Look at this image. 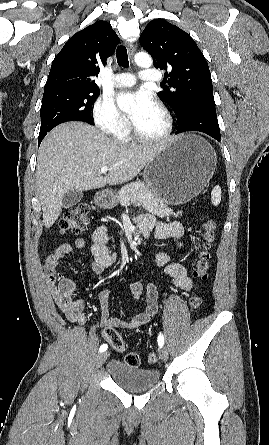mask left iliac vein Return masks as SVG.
Here are the masks:
<instances>
[{
	"label": "left iliac vein",
	"mask_w": 269,
	"mask_h": 445,
	"mask_svg": "<svg viewBox=\"0 0 269 445\" xmlns=\"http://www.w3.org/2000/svg\"><path fill=\"white\" fill-rule=\"evenodd\" d=\"M159 357L163 361H167L168 360V351H167V349L165 347H161L159 349Z\"/></svg>",
	"instance_id": "4c4485c4"
}]
</instances>
